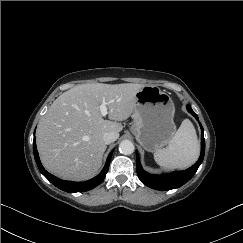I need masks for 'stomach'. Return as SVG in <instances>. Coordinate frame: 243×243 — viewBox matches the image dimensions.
I'll list each match as a JSON object with an SVG mask.
<instances>
[{
	"instance_id": "stomach-1",
	"label": "stomach",
	"mask_w": 243,
	"mask_h": 243,
	"mask_svg": "<svg viewBox=\"0 0 243 243\" xmlns=\"http://www.w3.org/2000/svg\"><path fill=\"white\" fill-rule=\"evenodd\" d=\"M131 133L147 151L166 146L175 134V106L171 97L159 87L143 86L135 95Z\"/></svg>"
}]
</instances>
